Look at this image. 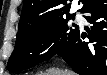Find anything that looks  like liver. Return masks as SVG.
I'll use <instances>...</instances> for the list:
<instances>
[{"mask_svg":"<svg viewBox=\"0 0 107 75\" xmlns=\"http://www.w3.org/2000/svg\"><path fill=\"white\" fill-rule=\"evenodd\" d=\"M45 75H75V74L68 70L52 69L49 72H47Z\"/></svg>","mask_w":107,"mask_h":75,"instance_id":"1","label":"liver"}]
</instances>
